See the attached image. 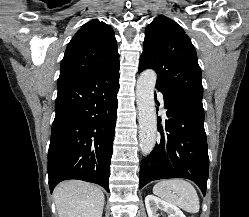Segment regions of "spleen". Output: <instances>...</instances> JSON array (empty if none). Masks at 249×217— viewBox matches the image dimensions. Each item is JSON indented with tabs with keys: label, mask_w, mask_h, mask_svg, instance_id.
I'll list each match as a JSON object with an SVG mask.
<instances>
[{
	"label": "spleen",
	"mask_w": 249,
	"mask_h": 217,
	"mask_svg": "<svg viewBox=\"0 0 249 217\" xmlns=\"http://www.w3.org/2000/svg\"><path fill=\"white\" fill-rule=\"evenodd\" d=\"M153 193L189 213H197L200 209L198 194L194 186L186 180H162L155 184Z\"/></svg>",
	"instance_id": "3e777b00"
}]
</instances>
